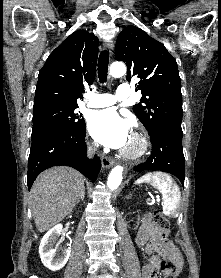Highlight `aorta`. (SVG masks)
Wrapping results in <instances>:
<instances>
[{"label":"aorta","instance_id":"762f6f07","mask_svg":"<svg viewBox=\"0 0 221 278\" xmlns=\"http://www.w3.org/2000/svg\"><path fill=\"white\" fill-rule=\"evenodd\" d=\"M126 73V66L122 62H114L110 66V75L114 78L122 77ZM123 178V167L115 166L108 176L107 187L115 190L121 184Z\"/></svg>","mask_w":221,"mask_h":278}]
</instances>
